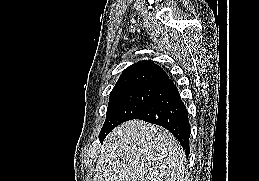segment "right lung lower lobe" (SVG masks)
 Wrapping results in <instances>:
<instances>
[{"instance_id": "right-lung-lower-lobe-1", "label": "right lung lower lobe", "mask_w": 259, "mask_h": 181, "mask_svg": "<svg viewBox=\"0 0 259 181\" xmlns=\"http://www.w3.org/2000/svg\"><path fill=\"white\" fill-rule=\"evenodd\" d=\"M133 119H141L166 128L179 140L186 154H189L188 113L177 87L169 78L160 85L155 96ZM105 137L99 136L100 141L102 142Z\"/></svg>"}]
</instances>
